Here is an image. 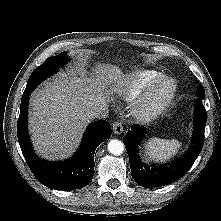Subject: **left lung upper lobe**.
<instances>
[{
  "label": "left lung upper lobe",
  "mask_w": 221,
  "mask_h": 221,
  "mask_svg": "<svg viewBox=\"0 0 221 221\" xmlns=\"http://www.w3.org/2000/svg\"><path fill=\"white\" fill-rule=\"evenodd\" d=\"M197 95H198V99L203 100L205 98V91H204L202 84H200L198 87Z\"/></svg>",
  "instance_id": "obj_1"
}]
</instances>
